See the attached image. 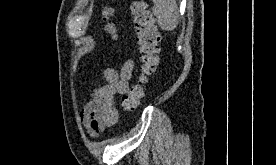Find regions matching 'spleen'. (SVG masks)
<instances>
[{
	"instance_id": "3e777b00",
	"label": "spleen",
	"mask_w": 276,
	"mask_h": 165,
	"mask_svg": "<svg viewBox=\"0 0 276 165\" xmlns=\"http://www.w3.org/2000/svg\"><path fill=\"white\" fill-rule=\"evenodd\" d=\"M157 23L164 31H173L178 25L179 11L176 0H152Z\"/></svg>"
}]
</instances>
